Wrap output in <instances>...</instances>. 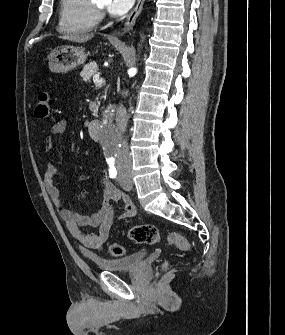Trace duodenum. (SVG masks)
Masks as SVG:
<instances>
[{
    "instance_id": "obj_1",
    "label": "duodenum",
    "mask_w": 285,
    "mask_h": 335,
    "mask_svg": "<svg viewBox=\"0 0 285 335\" xmlns=\"http://www.w3.org/2000/svg\"><path fill=\"white\" fill-rule=\"evenodd\" d=\"M99 128L100 124L96 120H92L88 123L87 129L88 133L94 140L99 139Z\"/></svg>"
}]
</instances>
